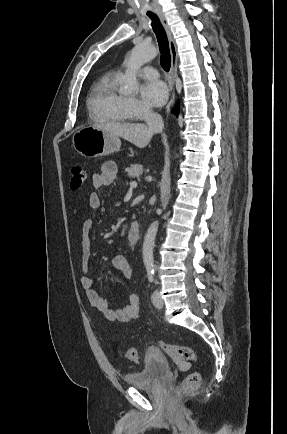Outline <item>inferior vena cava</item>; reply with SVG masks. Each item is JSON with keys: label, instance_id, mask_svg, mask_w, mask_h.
Listing matches in <instances>:
<instances>
[{"label": "inferior vena cava", "instance_id": "602c4592", "mask_svg": "<svg viewBox=\"0 0 287 434\" xmlns=\"http://www.w3.org/2000/svg\"><path fill=\"white\" fill-rule=\"evenodd\" d=\"M144 119L151 129H154L157 132H161L163 130L164 122L160 114L154 113L148 109L144 112Z\"/></svg>", "mask_w": 287, "mask_h": 434}]
</instances>
